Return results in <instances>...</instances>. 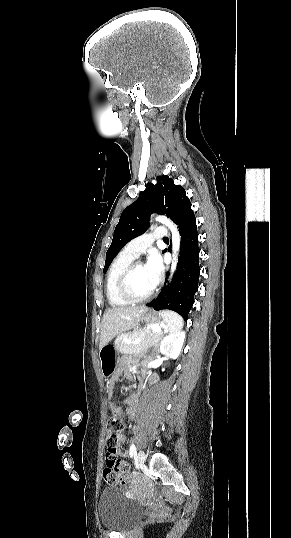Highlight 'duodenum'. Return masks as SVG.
I'll list each match as a JSON object with an SVG mask.
<instances>
[{"mask_svg":"<svg viewBox=\"0 0 291 538\" xmlns=\"http://www.w3.org/2000/svg\"><path fill=\"white\" fill-rule=\"evenodd\" d=\"M145 374L143 372L137 373L136 381L142 383L144 381Z\"/></svg>","mask_w":291,"mask_h":538,"instance_id":"410a0bca","label":"duodenum"}]
</instances>
